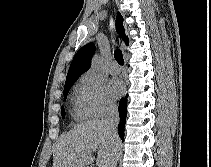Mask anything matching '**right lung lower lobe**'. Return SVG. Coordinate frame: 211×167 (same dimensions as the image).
Instances as JSON below:
<instances>
[{"mask_svg": "<svg viewBox=\"0 0 211 167\" xmlns=\"http://www.w3.org/2000/svg\"><path fill=\"white\" fill-rule=\"evenodd\" d=\"M127 97L122 98L119 102V116H120V123L118 125L119 136L122 140H124V128H125V119L127 114Z\"/></svg>", "mask_w": 211, "mask_h": 167, "instance_id": "right-lung-lower-lobe-1", "label": "right lung lower lobe"}]
</instances>
